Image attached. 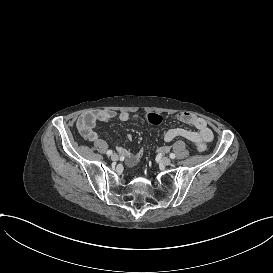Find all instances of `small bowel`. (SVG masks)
<instances>
[{
    "mask_svg": "<svg viewBox=\"0 0 273 273\" xmlns=\"http://www.w3.org/2000/svg\"><path fill=\"white\" fill-rule=\"evenodd\" d=\"M85 113L86 114L81 115L75 121V128L77 130L74 132V137L78 141H83L86 145H91L92 143L97 144V151L101 155H106L110 151V146L100 139L96 127L94 130L91 128L95 121L97 123L98 121L107 122L118 119L122 122L131 120L143 122L141 115L131 114L127 111L116 112L113 110H98ZM177 119L180 122L191 125L193 129L181 127L170 128L163 134L164 141L171 142L177 138H184L192 142L200 152L204 151L206 149V144L211 142L214 138L213 131L208 126L207 121L202 117L187 112L178 114ZM129 138H131V136H129ZM124 161L128 166L134 167L135 153L125 151Z\"/></svg>",
    "mask_w": 273,
    "mask_h": 273,
    "instance_id": "1",
    "label": "small bowel"
}]
</instances>
